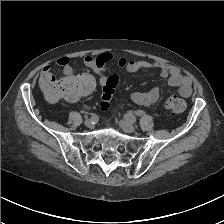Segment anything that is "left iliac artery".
Listing matches in <instances>:
<instances>
[{
	"instance_id": "left-iliac-artery-1",
	"label": "left iliac artery",
	"mask_w": 224,
	"mask_h": 224,
	"mask_svg": "<svg viewBox=\"0 0 224 224\" xmlns=\"http://www.w3.org/2000/svg\"><path fill=\"white\" fill-rule=\"evenodd\" d=\"M124 117L126 118V120H128L132 123L136 122V117L131 113L125 114Z\"/></svg>"
}]
</instances>
